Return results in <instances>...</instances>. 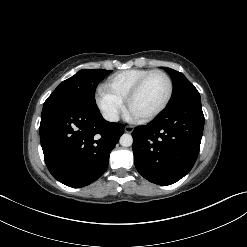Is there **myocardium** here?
Segmentation results:
<instances>
[{
	"mask_svg": "<svg viewBox=\"0 0 247 247\" xmlns=\"http://www.w3.org/2000/svg\"><path fill=\"white\" fill-rule=\"evenodd\" d=\"M155 74H160L163 75L167 82H168V93L167 96L164 100V102L161 104L160 107H158L155 111H153L152 113L143 116V117H137L139 121L141 122H148L151 121L153 119H155L158 115H160L169 105L172 96H173V91H174V84H173V80L170 77V75L163 71V70H151L149 73H147L146 75H144L136 84L135 86L132 88V90L129 92L125 102H126V108L127 110L130 111V106L132 101L136 98V96L139 94V92L141 91V89L143 88L144 84L146 83V81Z\"/></svg>",
	"mask_w": 247,
	"mask_h": 247,
	"instance_id": "1",
	"label": "myocardium"
}]
</instances>
